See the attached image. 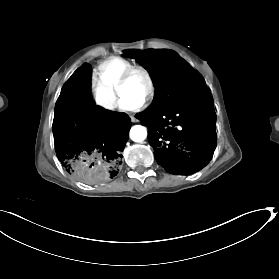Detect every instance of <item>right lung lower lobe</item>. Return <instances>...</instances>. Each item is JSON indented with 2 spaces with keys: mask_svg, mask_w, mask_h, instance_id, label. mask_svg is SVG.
Instances as JSON below:
<instances>
[{
  "mask_svg": "<svg viewBox=\"0 0 279 279\" xmlns=\"http://www.w3.org/2000/svg\"><path fill=\"white\" fill-rule=\"evenodd\" d=\"M90 71L91 66L83 64L63 85L53 135L63 168L78 180L100 185L118 175L131 123L127 114L95 104L88 88Z\"/></svg>",
  "mask_w": 279,
  "mask_h": 279,
  "instance_id": "right-lung-lower-lobe-1",
  "label": "right lung lower lobe"
}]
</instances>
